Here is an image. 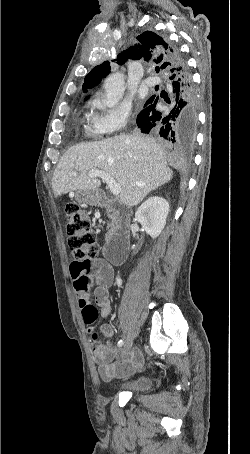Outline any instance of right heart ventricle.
Wrapping results in <instances>:
<instances>
[{"label":"right heart ventricle","mask_w":250,"mask_h":454,"mask_svg":"<svg viewBox=\"0 0 250 454\" xmlns=\"http://www.w3.org/2000/svg\"><path fill=\"white\" fill-rule=\"evenodd\" d=\"M84 132L85 135L88 137H93L97 136L100 133V131L96 127V116L93 114L87 115V117L84 120Z\"/></svg>","instance_id":"1"}]
</instances>
